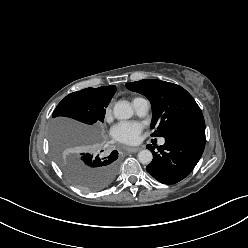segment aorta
<instances>
[{
	"instance_id": "1",
	"label": "aorta",
	"mask_w": 248,
	"mask_h": 248,
	"mask_svg": "<svg viewBox=\"0 0 248 248\" xmlns=\"http://www.w3.org/2000/svg\"><path fill=\"white\" fill-rule=\"evenodd\" d=\"M115 118L119 120H126L133 116V109L127 101H118L113 108ZM153 159L150 150L144 149L138 153V160L142 164H149Z\"/></svg>"
}]
</instances>
